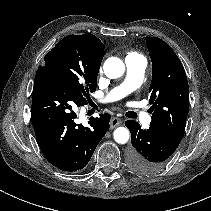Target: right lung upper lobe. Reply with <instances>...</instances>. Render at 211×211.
<instances>
[{"label":"right lung upper lobe","mask_w":211,"mask_h":211,"mask_svg":"<svg viewBox=\"0 0 211 211\" xmlns=\"http://www.w3.org/2000/svg\"><path fill=\"white\" fill-rule=\"evenodd\" d=\"M75 36L79 41L89 45L96 52L101 63L105 49V46L102 44V42L92 34H82L80 36Z\"/></svg>","instance_id":"obj_1"}]
</instances>
